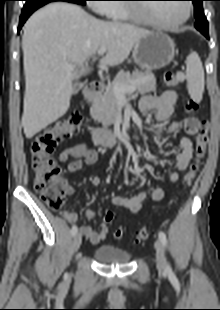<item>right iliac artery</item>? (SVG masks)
Here are the masks:
<instances>
[{"label":"right iliac artery","instance_id":"1","mask_svg":"<svg viewBox=\"0 0 220 310\" xmlns=\"http://www.w3.org/2000/svg\"><path fill=\"white\" fill-rule=\"evenodd\" d=\"M77 233V226L74 225L71 229V235L74 236Z\"/></svg>","mask_w":220,"mask_h":310}]
</instances>
